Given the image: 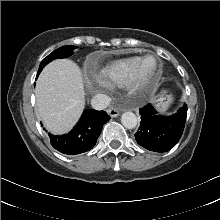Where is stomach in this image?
<instances>
[{"label":"stomach","instance_id":"obj_1","mask_svg":"<svg viewBox=\"0 0 220 220\" xmlns=\"http://www.w3.org/2000/svg\"><path fill=\"white\" fill-rule=\"evenodd\" d=\"M172 102L171 97H162L158 100L157 108L160 113H164Z\"/></svg>","mask_w":220,"mask_h":220}]
</instances>
